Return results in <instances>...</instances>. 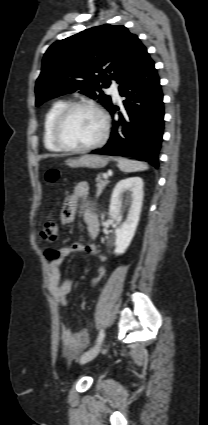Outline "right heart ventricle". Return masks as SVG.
<instances>
[{
    "label": "right heart ventricle",
    "instance_id": "right-heart-ventricle-1",
    "mask_svg": "<svg viewBox=\"0 0 208 425\" xmlns=\"http://www.w3.org/2000/svg\"><path fill=\"white\" fill-rule=\"evenodd\" d=\"M66 105L65 101L63 100H57L55 101L48 111L45 114L44 121H43V142L46 147V149L50 151L59 152L62 151L60 148H58L53 139H52V129L54 121L59 114V112L64 108Z\"/></svg>",
    "mask_w": 208,
    "mask_h": 425
}]
</instances>
